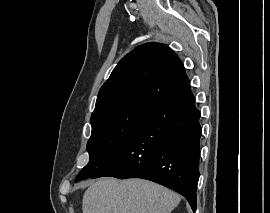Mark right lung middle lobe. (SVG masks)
Here are the masks:
<instances>
[{"label": "right lung middle lobe", "mask_w": 270, "mask_h": 213, "mask_svg": "<svg viewBox=\"0 0 270 213\" xmlns=\"http://www.w3.org/2000/svg\"><path fill=\"white\" fill-rule=\"evenodd\" d=\"M155 106L153 102L133 101L91 118L92 133L87 144L90 160L75 182L97 174Z\"/></svg>", "instance_id": "1"}]
</instances>
